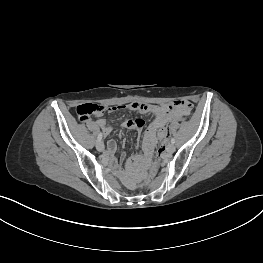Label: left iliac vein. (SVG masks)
Wrapping results in <instances>:
<instances>
[{
	"label": "left iliac vein",
	"instance_id": "4c4485c4",
	"mask_svg": "<svg viewBox=\"0 0 263 263\" xmlns=\"http://www.w3.org/2000/svg\"><path fill=\"white\" fill-rule=\"evenodd\" d=\"M174 151H175V146H174V144H172V143L168 144V146H167V152H168V153H173Z\"/></svg>",
	"mask_w": 263,
	"mask_h": 263
}]
</instances>
